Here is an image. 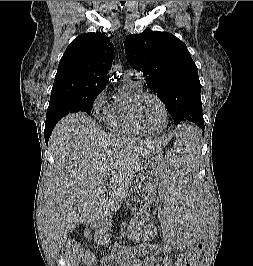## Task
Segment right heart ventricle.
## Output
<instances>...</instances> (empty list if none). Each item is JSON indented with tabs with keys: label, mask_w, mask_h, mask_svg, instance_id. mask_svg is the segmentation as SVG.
I'll return each instance as SVG.
<instances>
[{
	"label": "right heart ventricle",
	"mask_w": 253,
	"mask_h": 266,
	"mask_svg": "<svg viewBox=\"0 0 253 266\" xmlns=\"http://www.w3.org/2000/svg\"><path fill=\"white\" fill-rule=\"evenodd\" d=\"M141 92L142 84L125 80L106 117L107 127L112 133L126 137L143 135L134 126L130 113L133 98Z\"/></svg>",
	"instance_id": "right-heart-ventricle-1"
}]
</instances>
